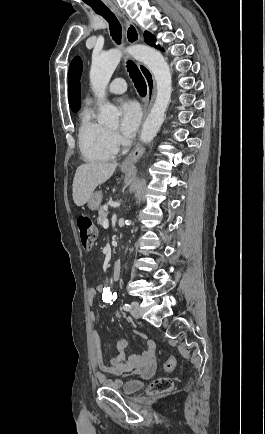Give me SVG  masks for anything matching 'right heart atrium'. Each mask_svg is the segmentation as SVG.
I'll return each mask as SVG.
<instances>
[{
    "label": "right heart atrium",
    "instance_id": "d8ad5b80",
    "mask_svg": "<svg viewBox=\"0 0 265 434\" xmlns=\"http://www.w3.org/2000/svg\"><path fill=\"white\" fill-rule=\"evenodd\" d=\"M109 143L111 144V149L113 151H121L124 148L123 143L125 139L122 136H118V133L115 130H112L109 133Z\"/></svg>",
    "mask_w": 265,
    "mask_h": 434
}]
</instances>
